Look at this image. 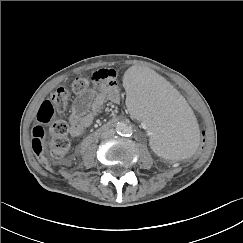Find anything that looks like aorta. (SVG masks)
Wrapping results in <instances>:
<instances>
[{"instance_id":"762f6f07","label":"aorta","mask_w":243,"mask_h":243,"mask_svg":"<svg viewBox=\"0 0 243 243\" xmlns=\"http://www.w3.org/2000/svg\"><path fill=\"white\" fill-rule=\"evenodd\" d=\"M116 130L122 135H130L132 133V127L125 122H118Z\"/></svg>"}]
</instances>
